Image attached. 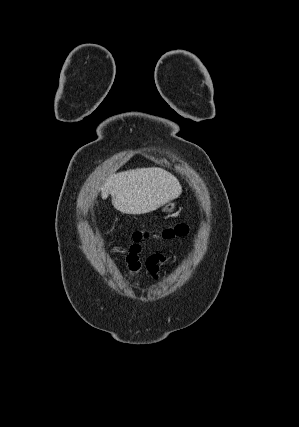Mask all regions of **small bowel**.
I'll return each mask as SVG.
<instances>
[{"instance_id":"obj_1","label":"small bowel","mask_w":299,"mask_h":427,"mask_svg":"<svg viewBox=\"0 0 299 427\" xmlns=\"http://www.w3.org/2000/svg\"><path fill=\"white\" fill-rule=\"evenodd\" d=\"M140 253L141 247L139 245H133L125 254V262L128 266V269L132 273L139 272L142 267V263L140 261ZM163 261L164 259L162 255L153 254L147 259L145 267L152 276H155L159 270V264H161Z\"/></svg>"}]
</instances>
